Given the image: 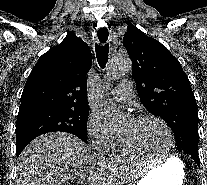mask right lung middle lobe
<instances>
[{"label":"right lung middle lobe","mask_w":207,"mask_h":185,"mask_svg":"<svg viewBox=\"0 0 207 185\" xmlns=\"http://www.w3.org/2000/svg\"><path fill=\"white\" fill-rule=\"evenodd\" d=\"M89 111L31 108L19 111L16 122V155L35 137L54 131L68 132L87 142Z\"/></svg>","instance_id":"obj_1"}]
</instances>
